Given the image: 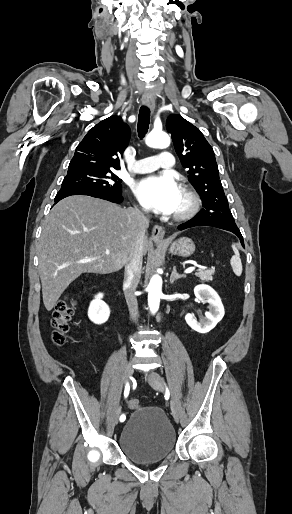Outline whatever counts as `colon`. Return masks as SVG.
I'll list each match as a JSON object with an SVG mask.
<instances>
[{"label": "colon", "instance_id": "obj_1", "mask_svg": "<svg viewBox=\"0 0 292 514\" xmlns=\"http://www.w3.org/2000/svg\"><path fill=\"white\" fill-rule=\"evenodd\" d=\"M76 302V295L71 293L64 300L56 303L55 311L50 319L51 339L56 347H61L65 342L69 321ZM127 406L134 411L142 409V405L137 398H129Z\"/></svg>", "mask_w": 292, "mask_h": 514}]
</instances>
